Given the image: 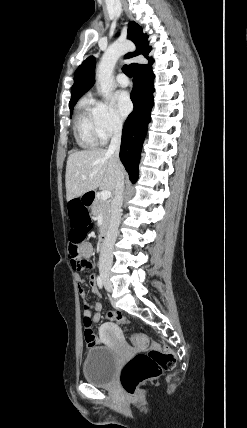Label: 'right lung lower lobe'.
Instances as JSON below:
<instances>
[{"mask_svg": "<svg viewBox=\"0 0 247 428\" xmlns=\"http://www.w3.org/2000/svg\"><path fill=\"white\" fill-rule=\"evenodd\" d=\"M152 64L153 60L149 61L148 65H139L132 69L134 89L131 100L134 104V110L128 116L122 131L120 159L133 183L138 178L142 144L153 106L151 93L154 91L153 80L155 76L152 72Z\"/></svg>", "mask_w": 247, "mask_h": 428, "instance_id": "obj_1", "label": "right lung lower lobe"}]
</instances>
